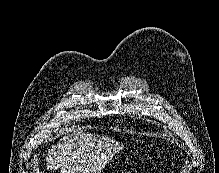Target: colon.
Returning a JSON list of instances; mask_svg holds the SVG:
<instances>
[{
  "label": "colon",
  "mask_w": 219,
  "mask_h": 173,
  "mask_svg": "<svg viewBox=\"0 0 219 173\" xmlns=\"http://www.w3.org/2000/svg\"><path fill=\"white\" fill-rule=\"evenodd\" d=\"M127 173H144V172H142L138 169H132V170L128 171Z\"/></svg>",
  "instance_id": "1"
}]
</instances>
